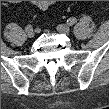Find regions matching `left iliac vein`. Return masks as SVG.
<instances>
[{"instance_id":"1","label":"left iliac vein","mask_w":109,"mask_h":109,"mask_svg":"<svg viewBox=\"0 0 109 109\" xmlns=\"http://www.w3.org/2000/svg\"><path fill=\"white\" fill-rule=\"evenodd\" d=\"M57 30L60 32V33H65V34H68L70 32V28L69 26L65 25V24H61L57 27Z\"/></svg>"}]
</instances>
